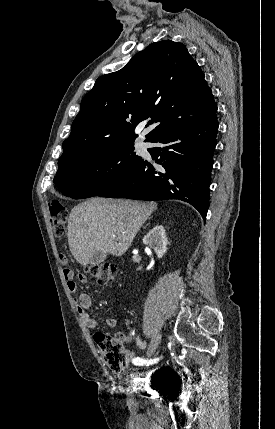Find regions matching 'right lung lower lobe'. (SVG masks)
<instances>
[{
  "mask_svg": "<svg viewBox=\"0 0 275 429\" xmlns=\"http://www.w3.org/2000/svg\"><path fill=\"white\" fill-rule=\"evenodd\" d=\"M216 111L151 138L148 142L157 146L148 152L159 166L154 168L141 159L135 168L98 196L179 199L194 206L205 220L218 130Z\"/></svg>",
  "mask_w": 275,
  "mask_h": 429,
  "instance_id": "right-lung-lower-lobe-1",
  "label": "right lung lower lobe"
}]
</instances>
